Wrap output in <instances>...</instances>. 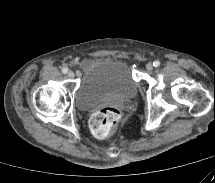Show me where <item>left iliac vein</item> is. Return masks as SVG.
<instances>
[{"mask_svg": "<svg viewBox=\"0 0 215 183\" xmlns=\"http://www.w3.org/2000/svg\"><path fill=\"white\" fill-rule=\"evenodd\" d=\"M146 69H147L148 71H152V70H153V64H152V63H148V64L146 65Z\"/></svg>", "mask_w": 215, "mask_h": 183, "instance_id": "obj_1", "label": "left iliac vein"}]
</instances>
